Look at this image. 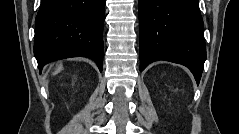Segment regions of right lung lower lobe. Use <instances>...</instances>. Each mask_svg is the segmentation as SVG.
Here are the masks:
<instances>
[{
	"mask_svg": "<svg viewBox=\"0 0 239 134\" xmlns=\"http://www.w3.org/2000/svg\"><path fill=\"white\" fill-rule=\"evenodd\" d=\"M104 17L105 0H41L34 37L39 70L59 59L88 57L102 71Z\"/></svg>",
	"mask_w": 239,
	"mask_h": 134,
	"instance_id": "obj_1",
	"label": "right lung lower lobe"
}]
</instances>
